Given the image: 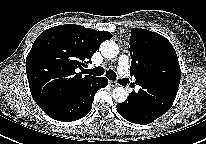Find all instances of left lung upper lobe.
Masks as SVG:
<instances>
[{
	"instance_id": "1",
	"label": "left lung upper lobe",
	"mask_w": 206,
	"mask_h": 144,
	"mask_svg": "<svg viewBox=\"0 0 206 144\" xmlns=\"http://www.w3.org/2000/svg\"><path fill=\"white\" fill-rule=\"evenodd\" d=\"M131 75L150 95L169 93L176 97L181 69L168 39L146 29H132L130 36Z\"/></svg>"
}]
</instances>
